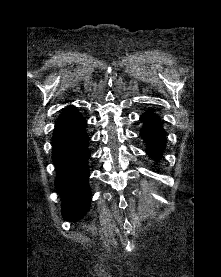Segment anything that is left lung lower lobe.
Instances as JSON below:
<instances>
[{
    "label": "left lung lower lobe",
    "instance_id": "obj_1",
    "mask_svg": "<svg viewBox=\"0 0 221 277\" xmlns=\"http://www.w3.org/2000/svg\"><path fill=\"white\" fill-rule=\"evenodd\" d=\"M140 120L144 122L140 135L146 142V152L155 160H159L165 147V133L161 120L152 112L144 113Z\"/></svg>",
    "mask_w": 221,
    "mask_h": 277
}]
</instances>
